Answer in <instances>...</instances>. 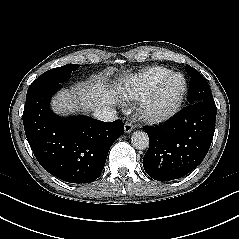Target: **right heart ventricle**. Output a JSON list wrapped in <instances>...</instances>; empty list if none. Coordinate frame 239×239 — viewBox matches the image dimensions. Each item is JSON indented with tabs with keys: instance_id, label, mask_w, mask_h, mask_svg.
<instances>
[{
	"instance_id": "1",
	"label": "right heart ventricle",
	"mask_w": 239,
	"mask_h": 239,
	"mask_svg": "<svg viewBox=\"0 0 239 239\" xmlns=\"http://www.w3.org/2000/svg\"><path fill=\"white\" fill-rule=\"evenodd\" d=\"M171 71L151 66L124 78L118 85L119 93L128 101H139L151 86Z\"/></svg>"
}]
</instances>
